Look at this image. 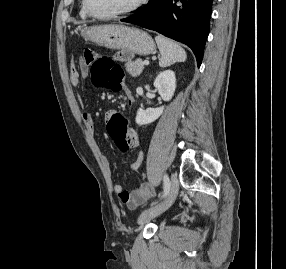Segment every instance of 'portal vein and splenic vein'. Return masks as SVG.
I'll return each mask as SVG.
<instances>
[{
  "label": "portal vein and splenic vein",
  "mask_w": 286,
  "mask_h": 269,
  "mask_svg": "<svg viewBox=\"0 0 286 269\" xmlns=\"http://www.w3.org/2000/svg\"><path fill=\"white\" fill-rule=\"evenodd\" d=\"M143 63H144V65H149V61L148 60H145Z\"/></svg>",
  "instance_id": "obj_1"
}]
</instances>
